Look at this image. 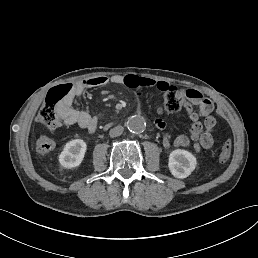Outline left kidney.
<instances>
[{
	"mask_svg": "<svg viewBox=\"0 0 258 258\" xmlns=\"http://www.w3.org/2000/svg\"><path fill=\"white\" fill-rule=\"evenodd\" d=\"M196 166L195 157L184 150H176L170 154L169 167L177 178L187 177Z\"/></svg>",
	"mask_w": 258,
	"mask_h": 258,
	"instance_id": "5707ae66",
	"label": "left kidney"
}]
</instances>
